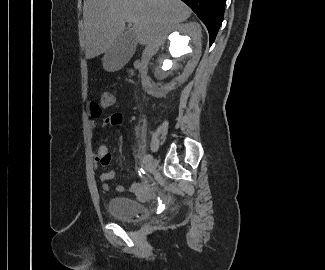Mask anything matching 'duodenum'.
Returning <instances> with one entry per match:
<instances>
[{
	"label": "duodenum",
	"instance_id": "obj_1",
	"mask_svg": "<svg viewBox=\"0 0 325 270\" xmlns=\"http://www.w3.org/2000/svg\"><path fill=\"white\" fill-rule=\"evenodd\" d=\"M135 66H136V68H140V67H141V63H140V62H137V63L135 64Z\"/></svg>",
	"mask_w": 325,
	"mask_h": 270
}]
</instances>
